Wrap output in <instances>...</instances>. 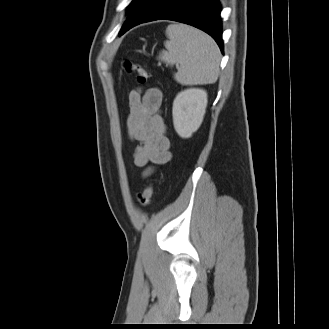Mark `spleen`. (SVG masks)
<instances>
[{
  "mask_svg": "<svg viewBox=\"0 0 329 329\" xmlns=\"http://www.w3.org/2000/svg\"><path fill=\"white\" fill-rule=\"evenodd\" d=\"M166 51L160 59L177 66L175 80L182 85L215 83L219 76L220 51L206 33L188 25L171 24L166 29Z\"/></svg>",
  "mask_w": 329,
  "mask_h": 329,
  "instance_id": "spleen-1",
  "label": "spleen"
}]
</instances>
